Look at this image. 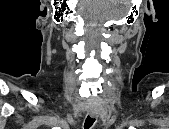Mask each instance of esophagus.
<instances>
[{
  "instance_id": "1",
  "label": "esophagus",
  "mask_w": 169,
  "mask_h": 129,
  "mask_svg": "<svg viewBox=\"0 0 169 129\" xmlns=\"http://www.w3.org/2000/svg\"><path fill=\"white\" fill-rule=\"evenodd\" d=\"M89 114L92 118L96 117L94 112H89Z\"/></svg>"
}]
</instances>
